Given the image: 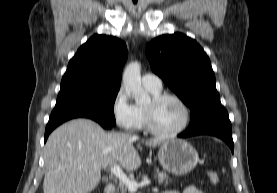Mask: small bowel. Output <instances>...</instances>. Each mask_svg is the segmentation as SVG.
<instances>
[{"label":"small bowel","instance_id":"c3829d8e","mask_svg":"<svg viewBox=\"0 0 277 193\" xmlns=\"http://www.w3.org/2000/svg\"><path fill=\"white\" fill-rule=\"evenodd\" d=\"M162 193H204L202 190H200L199 188H197L194 185H190L187 186L186 188H184L182 191H178V190H166L163 191Z\"/></svg>","mask_w":277,"mask_h":193}]
</instances>
